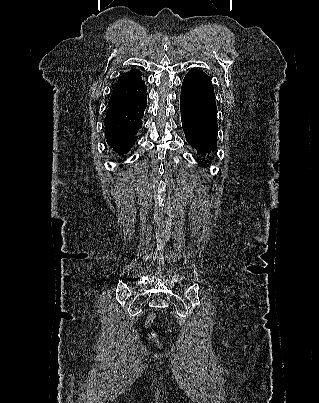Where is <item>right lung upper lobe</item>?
<instances>
[{
  "mask_svg": "<svg viewBox=\"0 0 319 403\" xmlns=\"http://www.w3.org/2000/svg\"><path fill=\"white\" fill-rule=\"evenodd\" d=\"M141 76V72L136 68L122 73L113 89L107 107L125 103L144 93L146 86Z\"/></svg>",
  "mask_w": 319,
  "mask_h": 403,
  "instance_id": "obj_1",
  "label": "right lung upper lobe"
}]
</instances>
